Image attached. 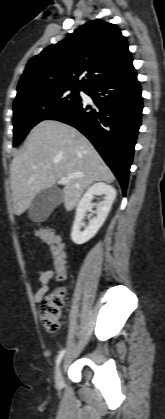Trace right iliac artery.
<instances>
[{"label": "right iliac artery", "instance_id": "right-iliac-artery-1", "mask_svg": "<svg viewBox=\"0 0 165 419\" xmlns=\"http://www.w3.org/2000/svg\"><path fill=\"white\" fill-rule=\"evenodd\" d=\"M64 353H65V350H61L60 351V353H59V355L57 357V360H56V368L59 366V364H60V362H61V360H62V358L64 356Z\"/></svg>", "mask_w": 165, "mask_h": 419}]
</instances>
